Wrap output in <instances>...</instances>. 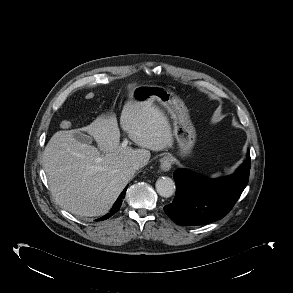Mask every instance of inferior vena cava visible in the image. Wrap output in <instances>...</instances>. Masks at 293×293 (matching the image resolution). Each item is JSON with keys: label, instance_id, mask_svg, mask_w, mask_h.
<instances>
[{"label": "inferior vena cava", "instance_id": "1", "mask_svg": "<svg viewBox=\"0 0 293 293\" xmlns=\"http://www.w3.org/2000/svg\"><path fill=\"white\" fill-rule=\"evenodd\" d=\"M147 164V161L144 159L138 160L132 164V168L137 170L139 168L144 167Z\"/></svg>", "mask_w": 293, "mask_h": 293}]
</instances>
